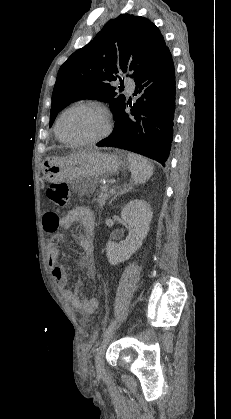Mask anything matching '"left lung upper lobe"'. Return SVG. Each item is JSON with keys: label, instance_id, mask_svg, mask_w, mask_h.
<instances>
[{"label": "left lung upper lobe", "instance_id": "obj_1", "mask_svg": "<svg viewBox=\"0 0 231 419\" xmlns=\"http://www.w3.org/2000/svg\"><path fill=\"white\" fill-rule=\"evenodd\" d=\"M168 50L160 30L147 18L121 14L108 21L60 67L52 93L50 126L58 112L83 98L108 102L115 114L125 103V97L117 96L110 85L115 75L131 72L136 79Z\"/></svg>", "mask_w": 231, "mask_h": 419}]
</instances>
